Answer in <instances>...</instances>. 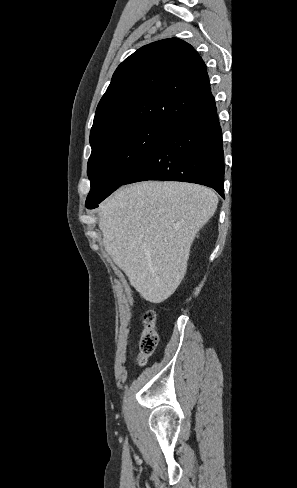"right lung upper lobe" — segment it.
Wrapping results in <instances>:
<instances>
[{
  "label": "right lung upper lobe",
  "instance_id": "obj_1",
  "mask_svg": "<svg viewBox=\"0 0 297 488\" xmlns=\"http://www.w3.org/2000/svg\"><path fill=\"white\" fill-rule=\"evenodd\" d=\"M214 102L206 65L178 38L143 46L125 59L101 98L90 144L128 127L173 126Z\"/></svg>",
  "mask_w": 297,
  "mask_h": 488
}]
</instances>
